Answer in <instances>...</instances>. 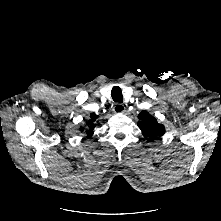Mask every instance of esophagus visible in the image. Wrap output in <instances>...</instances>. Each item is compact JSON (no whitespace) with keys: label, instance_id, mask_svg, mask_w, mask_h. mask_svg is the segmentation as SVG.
Masks as SVG:
<instances>
[{"label":"esophagus","instance_id":"esophagus-1","mask_svg":"<svg viewBox=\"0 0 221 221\" xmlns=\"http://www.w3.org/2000/svg\"><path fill=\"white\" fill-rule=\"evenodd\" d=\"M113 111L117 114L125 112V106L123 104L117 103L113 107Z\"/></svg>","mask_w":221,"mask_h":221}]
</instances>
